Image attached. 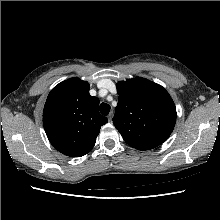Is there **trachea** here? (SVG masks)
Returning <instances> with one entry per match:
<instances>
[{
	"mask_svg": "<svg viewBox=\"0 0 220 220\" xmlns=\"http://www.w3.org/2000/svg\"><path fill=\"white\" fill-rule=\"evenodd\" d=\"M110 105L107 103H101L100 104V112L102 115L107 116L110 111Z\"/></svg>",
	"mask_w": 220,
	"mask_h": 220,
	"instance_id": "3493384b",
	"label": "trachea"
}]
</instances>
